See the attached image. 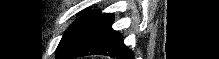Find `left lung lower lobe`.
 <instances>
[{
    "instance_id": "1",
    "label": "left lung lower lobe",
    "mask_w": 219,
    "mask_h": 59,
    "mask_svg": "<svg viewBox=\"0 0 219 59\" xmlns=\"http://www.w3.org/2000/svg\"><path fill=\"white\" fill-rule=\"evenodd\" d=\"M113 21V14H103L91 34L66 59L95 54L134 59L132 51L124 45L122 35L111 28Z\"/></svg>"
}]
</instances>
